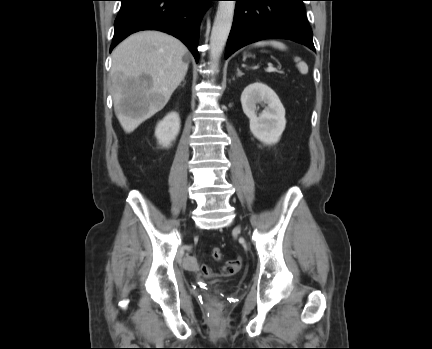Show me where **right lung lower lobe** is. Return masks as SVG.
<instances>
[{"instance_id": "obj_1", "label": "right lung lower lobe", "mask_w": 432, "mask_h": 349, "mask_svg": "<svg viewBox=\"0 0 432 349\" xmlns=\"http://www.w3.org/2000/svg\"><path fill=\"white\" fill-rule=\"evenodd\" d=\"M122 2L114 23L110 51L130 34L141 30H159L180 39L196 61L199 22L213 0H120Z\"/></svg>"}]
</instances>
